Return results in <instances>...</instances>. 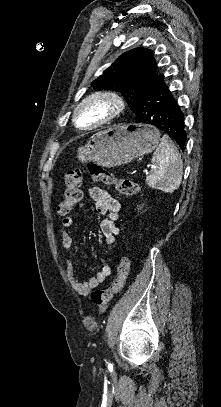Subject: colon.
<instances>
[{"mask_svg": "<svg viewBox=\"0 0 221 407\" xmlns=\"http://www.w3.org/2000/svg\"><path fill=\"white\" fill-rule=\"evenodd\" d=\"M85 172H88L93 181L109 186H114L117 191L126 196L137 194L140 187L131 179H118L115 175L98 163L90 162L86 171L73 169L65 176V188L62 199L58 205L59 214L69 213L82 199V181ZM131 271V261L128 256H123L117 266V274L108 288L94 289L91 294L93 303L97 306V314L101 316L107 310L113 296L119 294L125 287Z\"/></svg>", "mask_w": 221, "mask_h": 407, "instance_id": "colon-1", "label": "colon"}]
</instances>
